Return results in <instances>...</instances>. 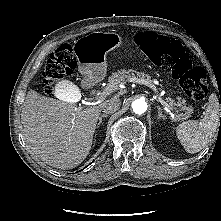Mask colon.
Masks as SVG:
<instances>
[{
    "mask_svg": "<svg viewBox=\"0 0 221 221\" xmlns=\"http://www.w3.org/2000/svg\"><path fill=\"white\" fill-rule=\"evenodd\" d=\"M135 42L152 63L169 70L178 79L189 98L203 101L208 94L209 81L201 67L193 66L181 44L171 38L154 32H138ZM76 58L70 44H62L49 56L43 73V89L51 92L53 82L71 75L76 68Z\"/></svg>",
    "mask_w": 221,
    "mask_h": 221,
    "instance_id": "5ec220e1",
    "label": "colon"
}]
</instances>
